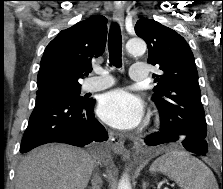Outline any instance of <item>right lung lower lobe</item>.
<instances>
[{
  "instance_id": "1",
  "label": "right lung lower lobe",
  "mask_w": 223,
  "mask_h": 189,
  "mask_svg": "<svg viewBox=\"0 0 223 189\" xmlns=\"http://www.w3.org/2000/svg\"><path fill=\"white\" fill-rule=\"evenodd\" d=\"M95 100L78 102L63 97H36L22 138L20 152L52 142L83 147L107 140V132L93 114Z\"/></svg>"
}]
</instances>
